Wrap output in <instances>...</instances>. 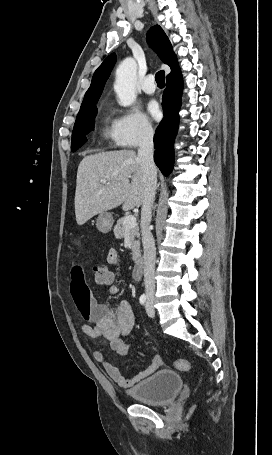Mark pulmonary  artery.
Segmentation results:
<instances>
[{
  "instance_id": "pulmonary-artery-1",
  "label": "pulmonary artery",
  "mask_w": 272,
  "mask_h": 455,
  "mask_svg": "<svg viewBox=\"0 0 272 455\" xmlns=\"http://www.w3.org/2000/svg\"><path fill=\"white\" fill-rule=\"evenodd\" d=\"M142 90L147 94H152L156 90L154 76L148 75L141 84Z\"/></svg>"
}]
</instances>
